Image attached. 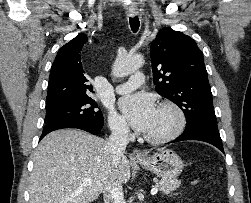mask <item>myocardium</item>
Listing matches in <instances>:
<instances>
[{
    "instance_id": "1",
    "label": "myocardium",
    "mask_w": 251,
    "mask_h": 203,
    "mask_svg": "<svg viewBox=\"0 0 251 203\" xmlns=\"http://www.w3.org/2000/svg\"><path fill=\"white\" fill-rule=\"evenodd\" d=\"M159 109H168L172 111L175 115L176 122L173 129L160 136H153L144 134V139L150 143L161 144L174 140L177 138L184 130L186 125V116L182 108L172 101H164L158 105Z\"/></svg>"
}]
</instances>
